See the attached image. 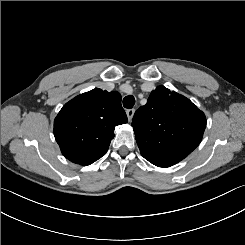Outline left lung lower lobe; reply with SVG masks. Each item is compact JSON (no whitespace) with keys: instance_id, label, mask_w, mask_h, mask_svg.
<instances>
[{"instance_id":"1","label":"left lung lower lobe","mask_w":245,"mask_h":245,"mask_svg":"<svg viewBox=\"0 0 245 245\" xmlns=\"http://www.w3.org/2000/svg\"><path fill=\"white\" fill-rule=\"evenodd\" d=\"M178 162H180L179 160H177L174 157H170V156H157L156 158H154L151 163L158 166V167H170L173 166L175 164H177Z\"/></svg>"}]
</instances>
